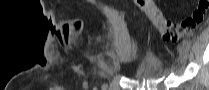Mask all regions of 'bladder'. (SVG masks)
Returning <instances> with one entry per match:
<instances>
[{
	"label": "bladder",
	"instance_id": "1",
	"mask_svg": "<svg viewBox=\"0 0 209 90\" xmlns=\"http://www.w3.org/2000/svg\"><path fill=\"white\" fill-rule=\"evenodd\" d=\"M163 63L153 56H146L137 65L135 76L141 79H158L162 76Z\"/></svg>",
	"mask_w": 209,
	"mask_h": 90
}]
</instances>
